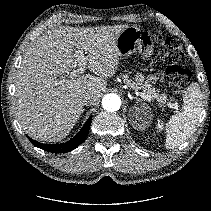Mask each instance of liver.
Listing matches in <instances>:
<instances>
[{"instance_id":"obj_1","label":"liver","mask_w":211,"mask_h":211,"mask_svg":"<svg viewBox=\"0 0 211 211\" xmlns=\"http://www.w3.org/2000/svg\"><path fill=\"white\" fill-rule=\"evenodd\" d=\"M125 25L52 28L27 50L15 77L14 109L30 137L60 142L75 126L84 105L80 96L93 95L95 103L119 66L115 42ZM74 48L87 54L88 69L95 75L69 77L77 64ZM76 52V51H75Z\"/></svg>"}]
</instances>
